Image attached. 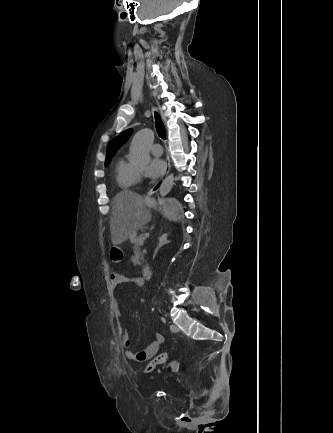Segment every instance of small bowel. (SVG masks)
I'll list each match as a JSON object with an SVG mask.
<instances>
[{"label": "small bowel", "instance_id": "c3829d8e", "mask_svg": "<svg viewBox=\"0 0 333 433\" xmlns=\"http://www.w3.org/2000/svg\"><path fill=\"white\" fill-rule=\"evenodd\" d=\"M128 282L138 286L142 283V279L140 277L127 276L118 272H112L110 275V283L114 292L118 290L121 284ZM114 311L118 317L121 316V309L118 302H115ZM164 341V335L156 333L154 334L152 341L143 350L135 351L132 349V342L128 331L121 328V345L124 348L125 357L133 362L143 363L152 360L158 353L160 346ZM177 368L178 364L174 363L172 369L176 370Z\"/></svg>", "mask_w": 333, "mask_h": 433}]
</instances>
